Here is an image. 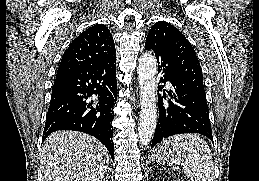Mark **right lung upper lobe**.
<instances>
[{
	"label": "right lung upper lobe",
	"mask_w": 259,
	"mask_h": 181,
	"mask_svg": "<svg viewBox=\"0 0 259 181\" xmlns=\"http://www.w3.org/2000/svg\"><path fill=\"white\" fill-rule=\"evenodd\" d=\"M116 58V50L110 30L96 24L76 37L62 56L57 75L99 66Z\"/></svg>",
	"instance_id": "1"
}]
</instances>
